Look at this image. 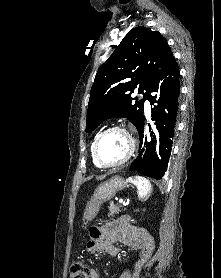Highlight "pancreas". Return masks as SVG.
<instances>
[{
  "instance_id": "1",
  "label": "pancreas",
  "mask_w": 221,
  "mask_h": 278,
  "mask_svg": "<svg viewBox=\"0 0 221 278\" xmlns=\"http://www.w3.org/2000/svg\"><path fill=\"white\" fill-rule=\"evenodd\" d=\"M121 211H122V206L121 205L111 204L110 207H109V216H114L115 214H117Z\"/></svg>"
}]
</instances>
